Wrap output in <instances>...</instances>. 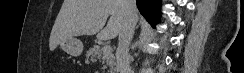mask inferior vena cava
I'll return each instance as SVG.
<instances>
[{
  "mask_svg": "<svg viewBox=\"0 0 244 73\" xmlns=\"http://www.w3.org/2000/svg\"><path fill=\"white\" fill-rule=\"evenodd\" d=\"M124 24L119 34L118 47L116 50L117 69L119 73H131L129 61V44L134 34L137 20L135 0H122Z\"/></svg>",
  "mask_w": 244,
  "mask_h": 73,
  "instance_id": "inferior-vena-cava-1",
  "label": "inferior vena cava"
}]
</instances>
